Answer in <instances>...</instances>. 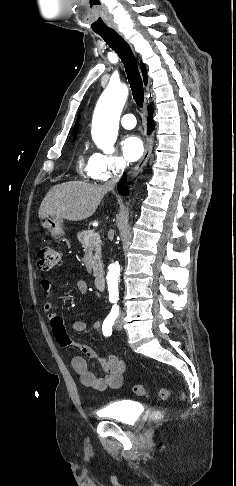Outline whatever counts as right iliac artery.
Returning <instances> with one entry per match:
<instances>
[{
    "label": "right iliac artery",
    "mask_w": 236,
    "mask_h": 486,
    "mask_svg": "<svg viewBox=\"0 0 236 486\" xmlns=\"http://www.w3.org/2000/svg\"><path fill=\"white\" fill-rule=\"evenodd\" d=\"M118 315H119V307L114 305L111 309L110 314L106 317V319L103 322L102 331L105 336L107 337L111 336L114 321L118 317Z\"/></svg>",
    "instance_id": "obj_1"
}]
</instances>
